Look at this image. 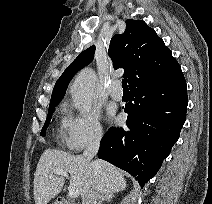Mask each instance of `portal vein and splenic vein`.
I'll return each mask as SVG.
<instances>
[{
  "label": "portal vein and splenic vein",
  "mask_w": 212,
  "mask_h": 204,
  "mask_svg": "<svg viewBox=\"0 0 212 204\" xmlns=\"http://www.w3.org/2000/svg\"><path fill=\"white\" fill-rule=\"evenodd\" d=\"M53 174H56V175H62L66 178H68V174L66 171H64L63 169H54L52 172H51V175ZM68 195L70 198L72 199H76L79 197V191L78 189L74 188V187H70L69 190H68Z\"/></svg>",
  "instance_id": "obj_1"
}]
</instances>
